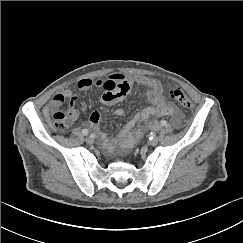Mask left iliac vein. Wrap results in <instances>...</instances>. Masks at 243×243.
I'll return each instance as SVG.
<instances>
[{"label":"left iliac vein","mask_w":243,"mask_h":243,"mask_svg":"<svg viewBox=\"0 0 243 243\" xmlns=\"http://www.w3.org/2000/svg\"><path fill=\"white\" fill-rule=\"evenodd\" d=\"M158 141H159L158 138L157 137H154L153 139H151V140L148 141V144L150 146H156L158 144Z\"/></svg>","instance_id":"obj_1"}]
</instances>
